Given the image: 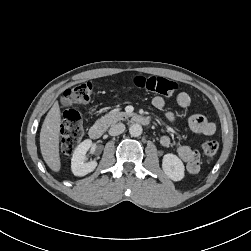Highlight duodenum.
Wrapping results in <instances>:
<instances>
[{"instance_id": "410a0bca", "label": "duodenum", "mask_w": 251, "mask_h": 251, "mask_svg": "<svg viewBox=\"0 0 251 251\" xmlns=\"http://www.w3.org/2000/svg\"><path fill=\"white\" fill-rule=\"evenodd\" d=\"M131 119L133 122L141 125H148L150 123L149 118L143 115H133ZM103 133L104 129L101 125H93L89 129V136L94 140L100 139Z\"/></svg>"}]
</instances>
